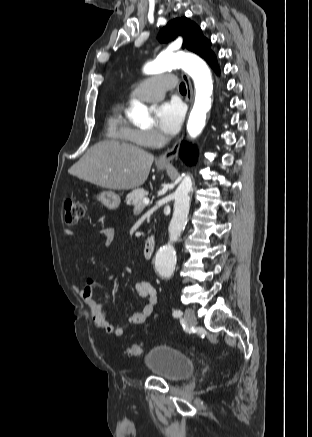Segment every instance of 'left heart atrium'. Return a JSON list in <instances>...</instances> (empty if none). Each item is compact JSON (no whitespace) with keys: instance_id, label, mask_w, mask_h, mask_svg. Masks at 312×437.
<instances>
[{"instance_id":"39dd6f15","label":"left heart atrium","mask_w":312,"mask_h":437,"mask_svg":"<svg viewBox=\"0 0 312 437\" xmlns=\"http://www.w3.org/2000/svg\"><path fill=\"white\" fill-rule=\"evenodd\" d=\"M183 118L184 109L178 101L164 102L156 110L157 126L167 135L177 133Z\"/></svg>"}]
</instances>
